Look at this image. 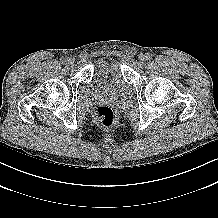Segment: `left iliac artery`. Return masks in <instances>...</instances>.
Returning <instances> with one entry per match:
<instances>
[{
    "label": "left iliac artery",
    "instance_id": "1",
    "mask_svg": "<svg viewBox=\"0 0 218 218\" xmlns=\"http://www.w3.org/2000/svg\"><path fill=\"white\" fill-rule=\"evenodd\" d=\"M146 59H147V60H151V59H152V54L147 53V54H146Z\"/></svg>",
    "mask_w": 218,
    "mask_h": 218
}]
</instances>
